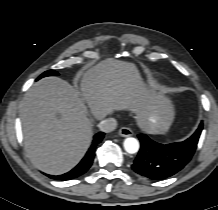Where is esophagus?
<instances>
[{
    "mask_svg": "<svg viewBox=\"0 0 218 210\" xmlns=\"http://www.w3.org/2000/svg\"><path fill=\"white\" fill-rule=\"evenodd\" d=\"M118 134L122 137H128L133 135V131L128 127H122L119 129Z\"/></svg>",
    "mask_w": 218,
    "mask_h": 210,
    "instance_id": "1",
    "label": "esophagus"
}]
</instances>
